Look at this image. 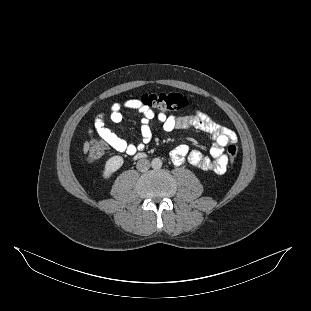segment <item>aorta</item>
Returning <instances> with one entry per match:
<instances>
[{
    "instance_id": "762f6f07",
    "label": "aorta",
    "mask_w": 311,
    "mask_h": 311,
    "mask_svg": "<svg viewBox=\"0 0 311 311\" xmlns=\"http://www.w3.org/2000/svg\"><path fill=\"white\" fill-rule=\"evenodd\" d=\"M151 166L153 169H160L162 167V160L160 158H154L151 161Z\"/></svg>"
}]
</instances>
